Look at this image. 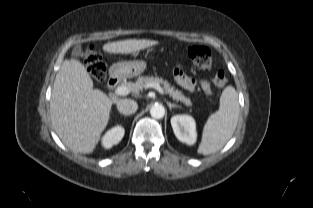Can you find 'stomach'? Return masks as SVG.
<instances>
[{
    "label": "stomach",
    "mask_w": 313,
    "mask_h": 208,
    "mask_svg": "<svg viewBox=\"0 0 313 208\" xmlns=\"http://www.w3.org/2000/svg\"><path fill=\"white\" fill-rule=\"evenodd\" d=\"M147 67L143 60L123 61L112 66L111 71L117 77L132 78L142 74Z\"/></svg>",
    "instance_id": "1"
}]
</instances>
